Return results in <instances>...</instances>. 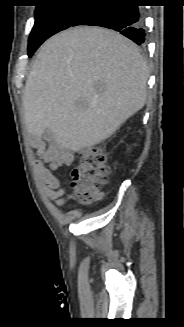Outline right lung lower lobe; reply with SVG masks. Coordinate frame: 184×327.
<instances>
[{
    "label": "right lung lower lobe",
    "instance_id": "right-lung-lower-lobe-1",
    "mask_svg": "<svg viewBox=\"0 0 184 327\" xmlns=\"http://www.w3.org/2000/svg\"><path fill=\"white\" fill-rule=\"evenodd\" d=\"M131 0H95L72 25L100 26L120 32L138 45L145 42L143 16L136 5L124 4Z\"/></svg>",
    "mask_w": 184,
    "mask_h": 327
}]
</instances>
